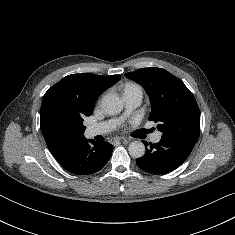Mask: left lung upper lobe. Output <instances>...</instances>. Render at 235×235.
Masks as SVG:
<instances>
[{
  "mask_svg": "<svg viewBox=\"0 0 235 235\" xmlns=\"http://www.w3.org/2000/svg\"><path fill=\"white\" fill-rule=\"evenodd\" d=\"M125 76L144 87L151 102L149 120L158 122L162 138L196 144L200 133V111L185 84L161 68H142Z\"/></svg>",
  "mask_w": 235,
  "mask_h": 235,
  "instance_id": "obj_1",
  "label": "left lung upper lobe"
}]
</instances>
